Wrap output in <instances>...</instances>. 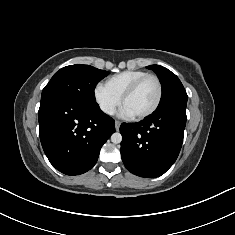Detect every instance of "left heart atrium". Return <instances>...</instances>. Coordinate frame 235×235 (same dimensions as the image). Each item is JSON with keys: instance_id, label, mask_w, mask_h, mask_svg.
<instances>
[{"instance_id": "left-heart-atrium-1", "label": "left heart atrium", "mask_w": 235, "mask_h": 235, "mask_svg": "<svg viewBox=\"0 0 235 235\" xmlns=\"http://www.w3.org/2000/svg\"><path fill=\"white\" fill-rule=\"evenodd\" d=\"M119 116L123 118L133 117L132 113L124 106L120 109Z\"/></svg>"}]
</instances>
